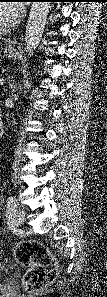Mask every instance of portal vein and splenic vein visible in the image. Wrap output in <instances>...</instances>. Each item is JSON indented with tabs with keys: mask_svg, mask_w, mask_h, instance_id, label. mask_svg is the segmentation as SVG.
<instances>
[{
	"mask_svg": "<svg viewBox=\"0 0 107 297\" xmlns=\"http://www.w3.org/2000/svg\"><path fill=\"white\" fill-rule=\"evenodd\" d=\"M4 81H5V80H4L3 78H1V79H0V85H3V84H4Z\"/></svg>",
	"mask_w": 107,
	"mask_h": 297,
	"instance_id": "obj_1",
	"label": "portal vein and splenic vein"
}]
</instances>
